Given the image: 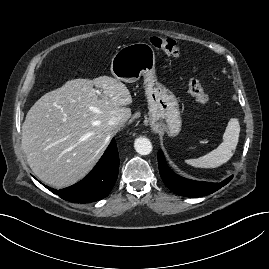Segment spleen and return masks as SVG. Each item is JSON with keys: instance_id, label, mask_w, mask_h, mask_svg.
I'll return each mask as SVG.
<instances>
[{"instance_id": "obj_1", "label": "spleen", "mask_w": 269, "mask_h": 269, "mask_svg": "<svg viewBox=\"0 0 269 269\" xmlns=\"http://www.w3.org/2000/svg\"><path fill=\"white\" fill-rule=\"evenodd\" d=\"M240 133V124L237 118H231L228 122L223 135V142L208 154L195 158L187 159L185 162L198 168H216L226 163L233 156Z\"/></svg>"}]
</instances>
